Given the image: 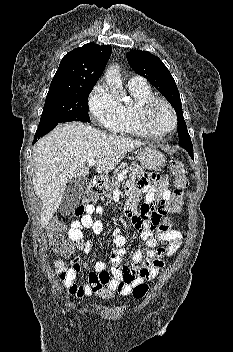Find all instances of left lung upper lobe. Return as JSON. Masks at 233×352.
Segmentation results:
<instances>
[{"instance_id":"obj_1","label":"left lung upper lobe","mask_w":233,"mask_h":352,"mask_svg":"<svg viewBox=\"0 0 233 352\" xmlns=\"http://www.w3.org/2000/svg\"><path fill=\"white\" fill-rule=\"evenodd\" d=\"M131 68L145 77L174 107L178 120L179 144L187 151H193L191 138L183 118L182 104L177 85L162 61L148 51L133 50L127 54Z\"/></svg>"}]
</instances>
